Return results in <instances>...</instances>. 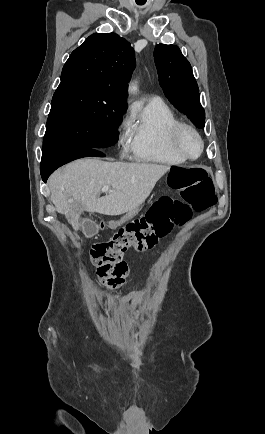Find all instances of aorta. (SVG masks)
Listing matches in <instances>:
<instances>
[{
  "label": "aorta",
  "instance_id": "aorta-1",
  "mask_svg": "<svg viewBox=\"0 0 265 434\" xmlns=\"http://www.w3.org/2000/svg\"><path fill=\"white\" fill-rule=\"evenodd\" d=\"M138 82H131L129 88H128V92L129 94H135V92H138V86H137Z\"/></svg>",
  "mask_w": 265,
  "mask_h": 434
}]
</instances>
